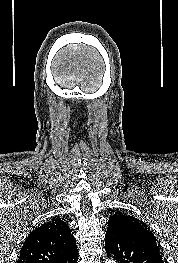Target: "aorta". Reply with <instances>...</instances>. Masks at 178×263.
Segmentation results:
<instances>
[{
  "label": "aorta",
  "mask_w": 178,
  "mask_h": 263,
  "mask_svg": "<svg viewBox=\"0 0 178 263\" xmlns=\"http://www.w3.org/2000/svg\"><path fill=\"white\" fill-rule=\"evenodd\" d=\"M106 263H115L113 259L106 260Z\"/></svg>",
  "instance_id": "obj_1"
}]
</instances>
